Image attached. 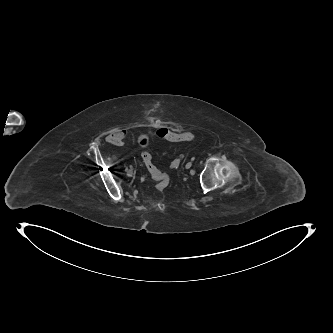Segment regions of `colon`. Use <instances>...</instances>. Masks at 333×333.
I'll return each instance as SVG.
<instances>
[{"mask_svg": "<svg viewBox=\"0 0 333 333\" xmlns=\"http://www.w3.org/2000/svg\"><path fill=\"white\" fill-rule=\"evenodd\" d=\"M157 135L168 142L193 141L195 139V135L190 132H173L167 129L157 130ZM141 157L148 173L156 181V189L159 192L166 191L170 186L169 176L153 164L150 152L144 151Z\"/></svg>", "mask_w": 333, "mask_h": 333, "instance_id": "1", "label": "colon"}]
</instances>
